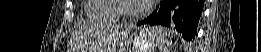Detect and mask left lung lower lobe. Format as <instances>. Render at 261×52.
Masks as SVG:
<instances>
[{
	"label": "left lung lower lobe",
	"mask_w": 261,
	"mask_h": 52,
	"mask_svg": "<svg viewBox=\"0 0 261 52\" xmlns=\"http://www.w3.org/2000/svg\"><path fill=\"white\" fill-rule=\"evenodd\" d=\"M204 0H163L156 10L137 25H163L176 30L191 41L203 11Z\"/></svg>",
	"instance_id": "0a47b994"
}]
</instances>
